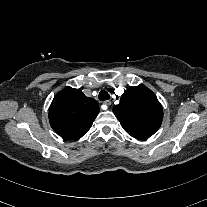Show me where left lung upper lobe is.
Returning a JSON list of instances; mask_svg holds the SVG:
<instances>
[{"label":"left lung upper lobe","mask_w":207,"mask_h":207,"mask_svg":"<svg viewBox=\"0 0 207 207\" xmlns=\"http://www.w3.org/2000/svg\"><path fill=\"white\" fill-rule=\"evenodd\" d=\"M113 112L124 130L137 139L154 134L163 119V110L156 95L144 85L128 88Z\"/></svg>","instance_id":"5c2ea615"}]
</instances>
